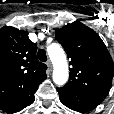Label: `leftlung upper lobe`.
Here are the masks:
<instances>
[{"instance_id": "obj_1", "label": "left lung upper lobe", "mask_w": 114, "mask_h": 114, "mask_svg": "<svg viewBox=\"0 0 114 114\" xmlns=\"http://www.w3.org/2000/svg\"><path fill=\"white\" fill-rule=\"evenodd\" d=\"M68 58L69 82L64 88L105 98L114 74L113 60L99 35L75 21L55 31Z\"/></svg>"}]
</instances>
